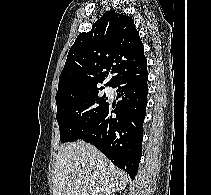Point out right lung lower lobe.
Masks as SVG:
<instances>
[{
    "label": "right lung lower lobe",
    "instance_id": "98d812e1",
    "mask_svg": "<svg viewBox=\"0 0 211 195\" xmlns=\"http://www.w3.org/2000/svg\"><path fill=\"white\" fill-rule=\"evenodd\" d=\"M147 65L123 75L116 105L108 104L104 112L79 139L95 145L114 165L135 178L142 153L143 122L148 93ZM113 113L116 116L113 117Z\"/></svg>",
    "mask_w": 211,
    "mask_h": 195
}]
</instances>
